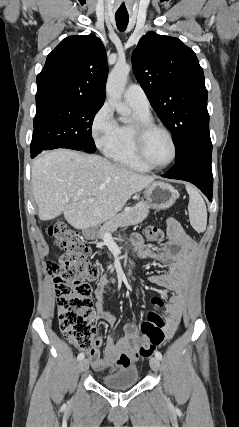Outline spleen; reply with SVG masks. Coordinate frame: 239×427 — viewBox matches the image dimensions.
I'll use <instances>...</instances> for the list:
<instances>
[{"instance_id":"spleen-1","label":"spleen","mask_w":239,"mask_h":427,"mask_svg":"<svg viewBox=\"0 0 239 427\" xmlns=\"http://www.w3.org/2000/svg\"><path fill=\"white\" fill-rule=\"evenodd\" d=\"M189 194L188 212L191 226L198 233L204 232L207 225V209L199 192L191 185H186Z\"/></svg>"}]
</instances>
